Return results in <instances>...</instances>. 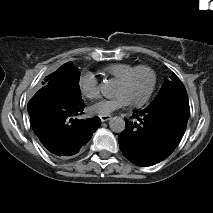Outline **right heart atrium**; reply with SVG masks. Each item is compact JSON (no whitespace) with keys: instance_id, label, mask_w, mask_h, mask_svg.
<instances>
[{"instance_id":"right-heart-atrium-1","label":"right heart atrium","mask_w":213,"mask_h":213,"mask_svg":"<svg viewBox=\"0 0 213 213\" xmlns=\"http://www.w3.org/2000/svg\"><path fill=\"white\" fill-rule=\"evenodd\" d=\"M82 94L88 98H97L101 92V86L97 76L92 72H85L79 79Z\"/></svg>"}]
</instances>
